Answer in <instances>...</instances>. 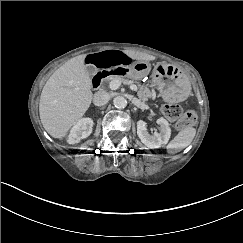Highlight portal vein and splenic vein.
Segmentation results:
<instances>
[{
    "label": "portal vein and splenic vein",
    "instance_id": "portal-vein-and-splenic-vein-1",
    "mask_svg": "<svg viewBox=\"0 0 243 243\" xmlns=\"http://www.w3.org/2000/svg\"><path fill=\"white\" fill-rule=\"evenodd\" d=\"M121 85V82L118 81V80H113L110 82V89L111 90H116L120 87ZM130 89L133 90V91H137V86L135 84H131L130 85Z\"/></svg>",
    "mask_w": 243,
    "mask_h": 243
}]
</instances>
